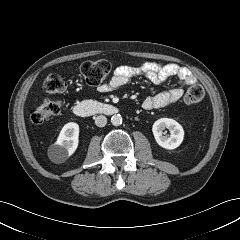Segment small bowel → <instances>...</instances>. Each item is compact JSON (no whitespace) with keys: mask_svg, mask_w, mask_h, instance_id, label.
<instances>
[{"mask_svg":"<svg viewBox=\"0 0 240 240\" xmlns=\"http://www.w3.org/2000/svg\"><path fill=\"white\" fill-rule=\"evenodd\" d=\"M142 76L153 84H161L170 77H176L184 85H194L196 77L186 67L174 63L144 62L139 66L121 65L117 67L109 81L98 87L100 92H111L126 85L132 77ZM183 90L174 86L156 95L148 96L142 102L144 110L166 107L181 99Z\"/></svg>","mask_w":240,"mask_h":240,"instance_id":"obj_1","label":"small bowel"}]
</instances>
